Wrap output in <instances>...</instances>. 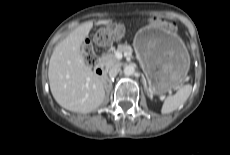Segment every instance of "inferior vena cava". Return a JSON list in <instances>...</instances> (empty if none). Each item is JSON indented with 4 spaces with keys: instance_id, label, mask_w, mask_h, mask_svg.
Segmentation results:
<instances>
[{
    "instance_id": "inferior-vena-cava-1",
    "label": "inferior vena cava",
    "mask_w": 230,
    "mask_h": 155,
    "mask_svg": "<svg viewBox=\"0 0 230 155\" xmlns=\"http://www.w3.org/2000/svg\"><path fill=\"white\" fill-rule=\"evenodd\" d=\"M119 72V66H113L110 70H109V77L110 78H114L117 73Z\"/></svg>"
}]
</instances>
